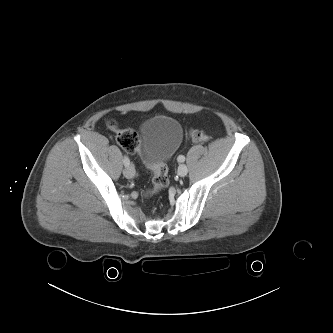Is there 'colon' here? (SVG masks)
I'll list each match as a JSON object with an SVG mask.
<instances>
[{"instance_id":"obj_1","label":"colon","mask_w":333,"mask_h":333,"mask_svg":"<svg viewBox=\"0 0 333 333\" xmlns=\"http://www.w3.org/2000/svg\"><path fill=\"white\" fill-rule=\"evenodd\" d=\"M108 126L111 130L116 132L117 143L129 154H141V138L139 134L133 129H118L114 121H109ZM189 137L194 142L205 141L208 137L201 129H191L189 131ZM145 162V161H144ZM153 171V185L144 194L145 197H149L162 189L166 188L169 184L168 169L165 164L148 165Z\"/></svg>"}]
</instances>
